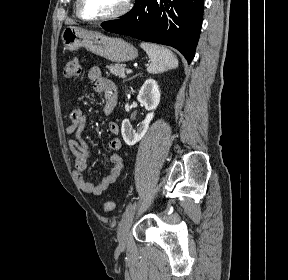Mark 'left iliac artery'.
Here are the masks:
<instances>
[{"label": "left iliac artery", "mask_w": 288, "mask_h": 280, "mask_svg": "<svg viewBox=\"0 0 288 280\" xmlns=\"http://www.w3.org/2000/svg\"><path fill=\"white\" fill-rule=\"evenodd\" d=\"M138 197L137 193H132L129 201H127V205L124 207V214H129L130 208H132V204L136 203V198Z\"/></svg>", "instance_id": "1"}]
</instances>
